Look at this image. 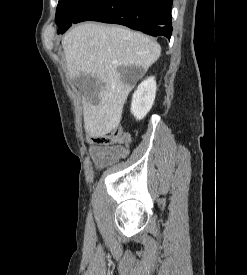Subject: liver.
<instances>
[{"label": "liver", "mask_w": 247, "mask_h": 275, "mask_svg": "<svg viewBox=\"0 0 247 275\" xmlns=\"http://www.w3.org/2000/svg\"><path fill=\"white\" fill-rule=\"evenodd\" d=\"M70 78L87 74L98 81L96 95L83 100L85 132L103 137L120 124L124 103L132 90L120 72L132 66L143 71L157 61L160 45L150 37L125 27L83 23L62 39Z\"/></svg>", "instance_id": "6515ba94"}]
</instances>
